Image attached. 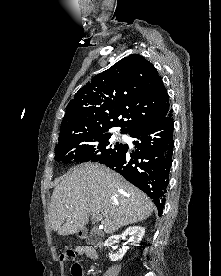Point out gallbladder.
<instances>
[{"label":"gallbladder","instance_id":"obj_1","mask_svg":"<svg viewBox=\"0 0 221 276\" xmlns=\"http://www.w3.org/2000/svg\"><path fill=\"white\" fill-rule=\"evenodd\" d=\"M92 238H93V235H90V236L88 237V240H92Z\"/></svg>","mask_w":221,"mask_h":276}]
</instances>
